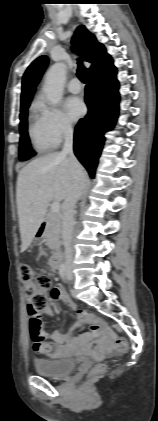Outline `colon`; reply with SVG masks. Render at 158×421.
I'll use <instances>...</instances> for the list:
<instances>
[{"instance_id": "5ec220e1", "label": "colon", "mask_w": 158, "mask_h": 421, "mask_svg": "<svg viewBox=\"0 0 158 421\" xmlns=\"http://www.w3.org/2000/svg\"><path fill=\"white\" fill-rule=\"evenodd\" d=\"M21 274L25 285V292L28 301V313L32 325H38L40 322L39 311H41L47 304L46 290L50 286L49 279L43 274L36 271L30 264H21ZM91 332L98 333L102 330L113 335L114 349L118 354H123L128 349V344L125 339L117 337L109 329H106L104 323L92 317L89 322ZM103 371V366H97L93 374H99Z\"/></svg>"}]
</instances>
